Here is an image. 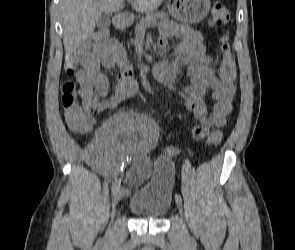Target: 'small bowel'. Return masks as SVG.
I'll use <instances>...</instances> for the list:
<instances>
[{
    "mask_svg": "<svg viewBox=\"0 0 295 250\" xmlns=\"http://www.w3.org/2000/svg\"><path fill=\"white\" fill-rule=\"evenodd\" d=\"M172 37L179 40L172 57L157 62L153 74L158 82L175 92L192 115L193 138L206 139L210 145H218L222 140L221 129L232 111L235 84H226L216 76L213 59L206 53L201 32L185 25L165 24L160 31L159 46H166ZM124 64L122 45L111 39L100 52L71 54L66 62V71L79 82L82 103L96 107L100 113L115 108L137 92L135 79L128 69H124L109 94V80L103 69ZM180 74L190 80L183 91H178L175 85ZM207 94L210 101L205 98ZM157 137L155 123L140 112H126L113 117L100 129L94 143L102 173L109 175L114 162L121 163L133 157L125 182L129 186L141 184L150 173L152 162L148 153ZM177 153L174 147L165 151L166 156Z\"/></svg>",
    "mask_w": 295,
    "mask_h": 250,
    "instance_id": "1",
    "label": "small bowel"
}]
</instances>
